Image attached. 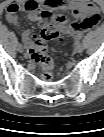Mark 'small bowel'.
<instances>
[{"instance_id":"obj_1","label":"small bowel","mask_w":104,"mask_h":137,"mask_svg":"<svg viewBox=\"0 0 104 137\" xmlns=\"http://www.w3.org/2000/svg\"><path fill=\"white\" fill-rule=\"evenodd\" d=\"M19 11H26L31 21H40V14L47 12L52 22L60 25L71 36H77L81 31L92 28L100 19L99 9L88 0H27L20 4L12 3L7 7L6 21L18 25ZM52 11H70L76 20L68 23L64 14ZM21 37L32 57L33 45L29 30H22Z\"/></svg>"}]
</instances>
